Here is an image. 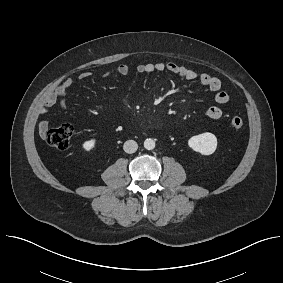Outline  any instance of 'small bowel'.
I'll list each match as a JSON object with an SVG mask.
<instances>
[{"instance_id":"obj_1","label":"small bowel","mask_w":283,"mask_h":283,"mask_svg":"<svg viewBox=\"0 0 283 283\" xmlns=\"http://www.w3.org/2000/svg\"><path fill=\"white\" fill-rule=\"evenodd\" d=\"M136 71L140 74H150L154 72H169L187 81H198L204 87L215 92V102L217 105L209 106L205 110V116L209 119L217 120L223 115L222 108L220 106L225 105L229 101V95L221 90L222 83L219 78L211 76L206 73H198L195 70L183 65H179L173 62H156V63H144L139 64L136 67ZM130 72V67L126 64L120 65L110 71L103 74V77L107 78L112 75H126ZM91 76L89 72H83L79 75V80H86ZM72 87V80L67 78L62 84H60L53 93H51L45 100L43 106L39 110V115L44 117L56 103L61 107L66 108L68 106L67 93ZM48 128V122L44 118L39 121V131L44 134Z\"/></svg>"}]
</instances>
